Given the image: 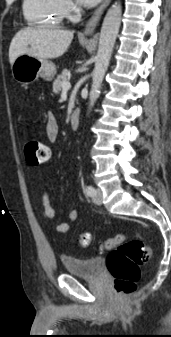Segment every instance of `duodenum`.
<instances>
[{
  "label": "duodenum",
  "mask_w": 171,
  "mask_h": 337,
  "mask_svg": "<svg viewBox=\"0 0 171 337\" xmlns=\"http://www.w3.org/2000/svg\"><path fill=\"white\" fill-rule=\"evenodd\" d=\"M80 122V113L78 110H74L70 117V125L72 129H77Z\"/></svg>",
  "instance_id": "obj_1"
}]
</instances>
